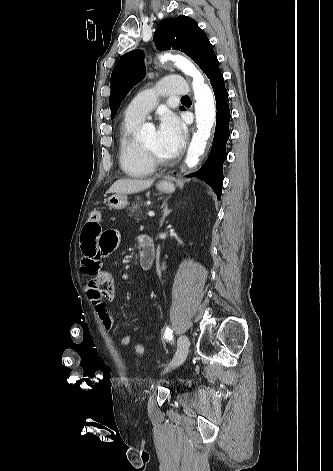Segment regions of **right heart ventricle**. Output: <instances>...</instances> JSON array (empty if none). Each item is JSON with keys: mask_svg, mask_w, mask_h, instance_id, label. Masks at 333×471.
Instances as JSON below:
<instances>
[{"mask_svg": "<svg viewBox=\"0 0 333 471\" xmlns=\"http://www.w3.org/2000/svg\"><path fill=\"white\" fill-rule=\"evenodd\" d=\"M141 120L124 118L118 139L119 163L124 173L130 177L141 178L154 171V165L145 155L135 135Z\"/></svg>", "mask_w": 333, "mask_h": 471, "instance_id": "1", "label": "right heart ventricle"}]
</instances>
